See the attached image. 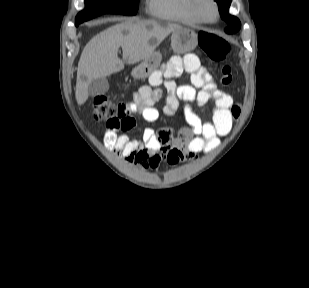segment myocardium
<instances>
[{"label":"myocardium","instance_id":"1","mask_svg":"<svg viewBox=\"0 0 309 288\" xmlns=\"http://www.w3.org/2000/svg\"><path fill=\"white\" fill-rule=\"evenodd\" d=\"M205 1L210 2L211 4H213L214 8H215V12H216V16L214 19H207L201 11V4ZM191 10L193 15L196 17V19L201 22V23H205V24H214L216 23L221 15V10H220V6L217 0H192V4H191Z\"/></svg>","mask_w":309,"mask_h":288}]
</instances>
